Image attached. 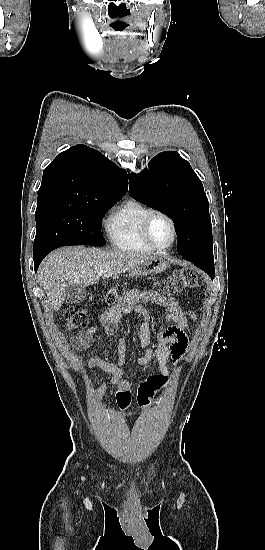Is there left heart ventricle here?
I'll use <instances>...</instances> for the list:
<instances>
[{"instance_id": "b2bd125f", "label": "left heart ventricle", "mask_w": 265, "mask_h": 550, "mask_svg": "<svg viewBox=\"0 0 265 550\" xmlns=\"http://www.w3.org/2000/svg\"><path fill=\"white\" fill-rule=\"evenodd\" d=\"M150 235L158 246L169 245L172 240V231L167 220L159 216L154 217L150 224Z\"/></svg>"}]
</instances>
